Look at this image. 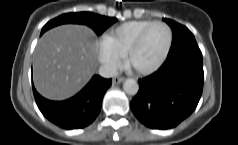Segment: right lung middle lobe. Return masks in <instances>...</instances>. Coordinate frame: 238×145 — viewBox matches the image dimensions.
I'll return each instance as SVG.
<instances>
[{
    "label": "right lung middle lobe",
    "instance_id": "dd1d6c3e",
    "mask_svg": "<svg viewBox=\"0 0 238 145\" xmlns=\"http://www.w3.org/2000/svg\"><path fill=\"white\" fill-rule=\"evenodd\" d=\"M116 21V18H109L91 12L66 13L49 21L42 28L41 35L50 28L65 23L84 24L92 28L97 35H101L105 29Z\"/></svg>",
    "mask_w": 238,
    "mask_h": 145
}]
</instances>
